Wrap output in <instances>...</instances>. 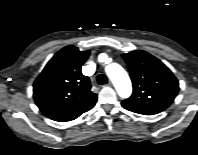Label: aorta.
Here are the masks:
<instances>
[{
  "mask_svg": "<svg viewBox=\"0 0 198 155\" xmlns=\"http://www.w3.org/2000/svg\"><path fill=\"white\" fill-rule=\"evenodd\" d=\"M108 77L113 82L120 97L127 98L132 93V85L127 72L117 63H111L105 68Z\"/></svg>",
  "mask_w": 198,
  "mask_h": 155,
  "instance_id": "obj_1",
  "label": "aorta"
}]
</instances>
